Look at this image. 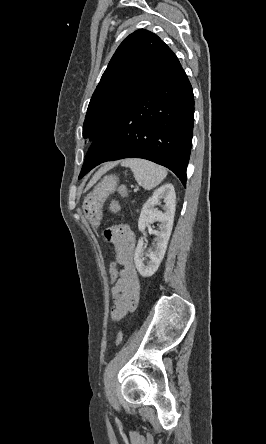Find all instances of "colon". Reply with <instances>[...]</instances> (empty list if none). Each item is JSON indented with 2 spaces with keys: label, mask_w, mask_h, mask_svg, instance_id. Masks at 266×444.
I'll use <instances>...</instances> for the list:
<instances>
[{
  "label": "colon",
  "mask_w": 266,
  "mask_h": 444,
  "mask_svg": "<svg viewBox=\"0 0 266 444\" xmlns=\"http://www.w3.org/2000/svg\"><path fill=\"white\" fill-rule=\"evenodd\" d=\"M117 193L121 197H125L127 195V189L125 186H119L117 188ZM110 210L112 213H118L120 211V203L119 201L115 200L110 204ZM120 269L119 264L116 260H113L108 268V280L109 283L114 287L119 279ZM124 333L122 331H119L116 339L115 344L120 345L123 341Z\"/></svg>",
  "instance_id": "1"
}]
</instances>
